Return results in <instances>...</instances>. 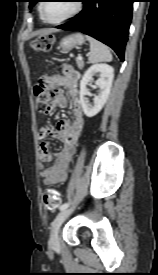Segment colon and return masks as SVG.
<instances>
[{
	"instance_id": "5ec220e1",
	"label": "colon",
	"mask_w": 158,
	"mask_h": 275,
	"mask_svg": "<svg viewBox=\"0 0 158 275\" xmlns=\"http://www.w3.org/2000/svg\"><path fill=\"white\" fill-rule=\"evenodd\" d=\"M54 44V37L51 34H44L31 43V47L36 51H50ZM37 111L47 114L52 109L55 94L47 89L45 83L40 81L34 88ZM42 202L47 209H56L61 204L60 194L51 188H45L41 194Z\"/></svg>"
}]
</instances>
